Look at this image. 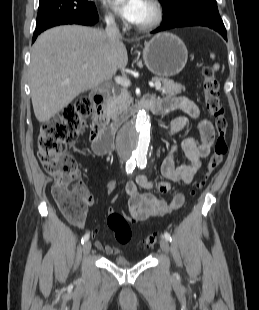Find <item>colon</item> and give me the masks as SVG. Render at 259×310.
Wrapping results in <instances>:
<instances>
[{"label":"colon","mask_w":259,"mask_h":310,"mask_svg":"<svg viewBox=\"0 0 259 310\" xmlns=\"http://www.w3.org/2000/svg\"><path fill=\"white\" fill-rule=\"evenodd\" d=\"M204 105L208 114L214 120L215 139L213 154L205 167L202 178L196 185L200 189L216 171L227 152V120L225 110L220 100V87L212 66L203 69ZM92 102L86 97H80L66 105L58 115L43 123L38 146L39 161L46 172L54 178L53 198L66 219L77 224L84 219L91 194L79 177L77 164L73 156L66 153V147L73 142L86 127L85 119L90 115ZM196 190L191 192L192 195ZM108 228L117 242L126 244L132 236L129 221L118 212H109ZM159 235L152 233L144 238L146 249L152 248Z\"/></svg>","instance_id":"colon-1"}]
</instances>
